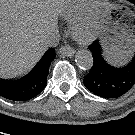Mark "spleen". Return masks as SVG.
<instances>
[{
    "label": "spleen",
    "instance_id": "3e777b00",
    "mask_svg": "<svg viewBox=\"0 0 135 135\" xmlns=\"http://www.w3.org/2000/svg\"><path fill=\"white\" fill-rule=\"evenodd\" d=\"M131 52H117L112 61L116 64H122L130 57Z\"/></svg>",
    "mask_w": 135,
    "mask_h": 135
}]
</instances>
